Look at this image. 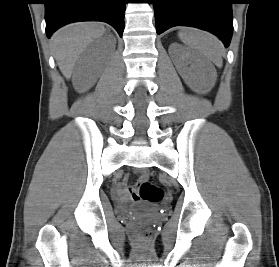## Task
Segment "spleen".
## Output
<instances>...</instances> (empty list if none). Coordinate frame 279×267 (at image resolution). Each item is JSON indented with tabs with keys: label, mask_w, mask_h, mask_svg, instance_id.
I'll list each match as a JSON object with an SVG mask.
<instances>
[{
	"label": "spleen",
	"mask_w": 279,
	"mask_h": 267,
	"mask_svg": "<svg viewBox=\"0 0 279 267\" xmlns=\"http://www.w3.org/2000/svg\"><path fill=\"white\" fill-rule=\"evenodd\" d=\"M178 35L184 44L198 51L217 67H222L224 48L215 36L196 29H183Z\"/></svg>",
	"instance_id": "3e777b00"
}]
</instances>
